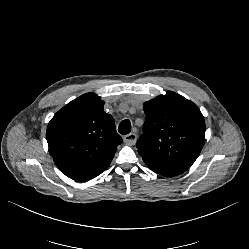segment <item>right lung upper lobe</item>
Segmentation results:
<instances>
[{"label": "right lung upper lobe", "instance_id": "1", "mask_svg": "<svg viewBox=\"0 0 249 249\" xmlns=\"http://www.w3.org/2000/svg\"><path fill=\"white\" fill-rule=\"evenodd\" d=\"M104 101L86 93L68 103L47 127L49 152L68 177L88 181L111 163L122 143L114 118L103 110Z\"/></svg>", "mask_w": 249, "mask_h": 249}]
</instances>
